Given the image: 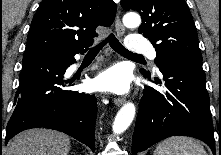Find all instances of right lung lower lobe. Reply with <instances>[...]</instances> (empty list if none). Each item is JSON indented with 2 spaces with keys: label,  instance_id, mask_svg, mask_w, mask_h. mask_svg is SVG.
I'll return each mask as SVG.
<instances>
[{
  "label": "right lung lower lobe",
  "instance_id": "1",
  "mask_svg": "<svg viewBox=\"0 0 221 155\" xmlns=\"http://www.w3.org/2000/svg\"><path fill=\"white\" fill-rule=\"evenodd\" d=\"M74 55L42 51L23 57L5 144L23 130L45 127L64 132L94 151L97 100L66 89L73 81L65 80L64 73L75 63ZM0 144L2 148V138Z\"/></svg>",
  "mask_w": 221,
  "mask_h": 155
}]
</instances>
